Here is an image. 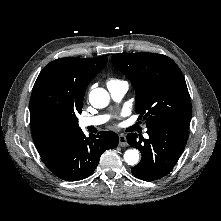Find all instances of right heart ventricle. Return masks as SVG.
Segmentation results:
<instances>
[{
    "instance_id": "1",
    "label": "right heart ventricle",
    "mask_w": 221,
    "mask_h": 221,
    "mask_svg": "<svg viewBox=\"0 0 221 221\" xmlns=\"http://www.w3.org/2000/svg\"><path fill=\"white\" fill-rule=\"evenodd\" d=\"M115 82H118V80L110 79V80L108 81V84H109V83H115Z\"/></svg>"
}]
</instances>
